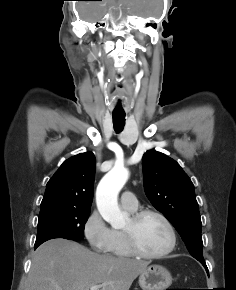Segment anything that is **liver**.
I'll list each match as a JSON object with an SVG mask.
<instances>
[{
	"label": "liver",
	"instance_id": "obj_1",
	"mask_svg": "<svg viewBox=\"0 0 236 290\" xmlns=\"http://www.w3.org/2000/svg\"><path fill=\"white\" fill-rule=\"evenodd\" d=\"M149 262L94 253L65 239H52L35 251L26 290H129Z\"/></svg>",
	"mask_w": 236,
	"mask_h": 290
}]
</instances>
